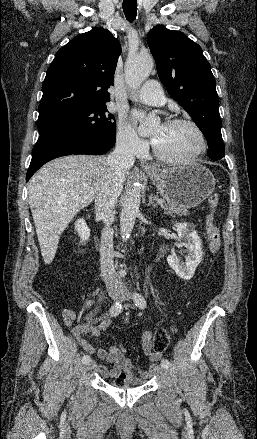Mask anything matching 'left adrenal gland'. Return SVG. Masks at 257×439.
<instances>
[{
    "mask_svg": "<svg viewBox=\"0 0 257 439\" xmlns=\"http://www.w3.org/2000/svg\"><path fill=\"white\" fill-rule=\"evenodd\" d=\"M150 205H152L154 208L155 207H158V205L154 202V200H153V194H151L150 196H149V202H148V206H150Z\"/></svg>",
    "mask_w": 257,
    "mask_h": 439,
    "instance_id": "1",
    "label": "left adrenal gland"
}]
</instances>
